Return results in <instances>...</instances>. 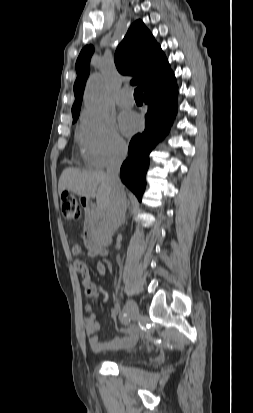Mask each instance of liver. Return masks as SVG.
<instances>
[{"label":"liver","mask_w":253,"mask_h":413,"mask_svg":"<svg viewBox=\"0 0 253 413\" xmlns=\"http://www.w3.org/2000/svg\"><path fill=\"white\" fill-rule=\"evenodd\" d=\"M65 190L87 199L96 197L97 207L103 212L108 210L113 199V188L102 171L66 168L58 182V193Z\"/></svg>","instance_id":"1"}]
</instances>
